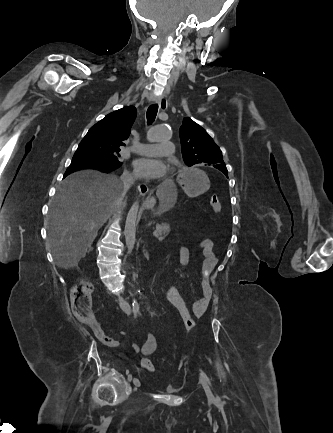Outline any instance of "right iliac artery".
I'll list each match as a JSON object with an SVG mask.
<instances>
[{"label":"right iliac artery","instance_id":"1","mask_svg":"<svg viewBox=\"0 0 333 433\" xmlns=\"http://www.w3.org/2000/svg\"><path fill=\"white\" fill-rule=\"evenodd\" d=\"M129 373V370H126V374H128Z\"/></svg>","mask_w":333,"mask_h":433}]
</instances>
